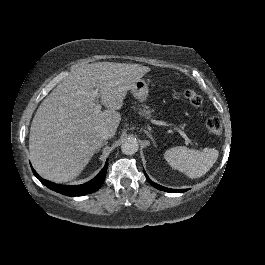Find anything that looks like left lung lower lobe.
I'll list each match as a JSON object with an SVG mask.
<instances>
[{
  "mask_svg": "<svg viewBox=\"0 0 265 265\" xmlns=\"http://www.w3.org/2000/svg\"><path fill=\"white\" fill-rule=\"evenodd\" d=\"M144 174H145L146 179L148 180V182H149L152 186H154L155 188H157V189H160V190H163V191H167V192H175V193H177V192H185V191H186L185 189H170V188H166V187L160 186V185L154 183V182H153V181L147 176V174L145 173V171H144Z\"/></svg>",
  "mask_w": 265,
  "mask_h": 265,
  "instance_id": "obj_1",
  "label": "left lung lower lobe"
}]
</instances>
